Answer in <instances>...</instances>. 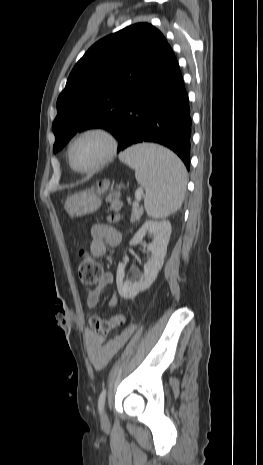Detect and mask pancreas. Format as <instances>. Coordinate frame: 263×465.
<instances>
[{
  "instance_id": "obj_1",
  "label": "pancreas",
  "mask_w": 263,
  "mask_h": 465,
  "mask_svg": "<svg viewBox=\"0 0 263 465\" xmlns=\"http://www.w3.org/2000/svg\"><path fill=\"white\" fill-rule=\"evenodd\" d=\"M143 214V208L139 206H133L132 208V214H131V222H135L136 220H139L140 217Z\"/></svg>"
}]
</instances>
